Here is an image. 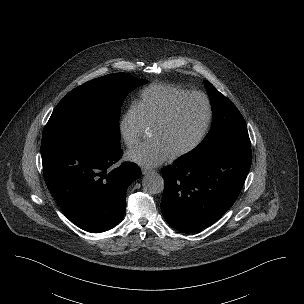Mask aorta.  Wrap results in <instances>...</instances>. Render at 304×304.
Instances as JSON below:
<instances>
[{
	"instance_id": "1",
	"label": "aorta",
	"mask_w": 304,
	"mask_h": 304,
	"mask_svg": "<svg viewBox=\"0 0 304 304\" xmlns=\"http://www.w3.org/2000/svg\"><path fill=\"white\" fill-rule=\"evenodd\" d=\"M143 188L150 194L161 193L164 189L163 177L155 172H151L144 176L142 182Z\"/></svg>"
}]
</instances>
